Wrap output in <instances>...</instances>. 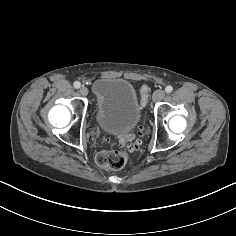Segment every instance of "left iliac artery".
<instances>
[{"instance_id": "obj_1", "label": "left iliac artery", "mask_w": 236, "mask_h": 236, "mask_svg": "<svg viewBox=\"0 0 236 236\" xmlns=\"http://www.w3.org/2000/svg\"><path fill=\"white\" fill-rule=\"evenodd\" d=\"M165 91L166 93H171L173 91V87L168 85L166 88H165Z\"/></svg>"}]
</instances>
